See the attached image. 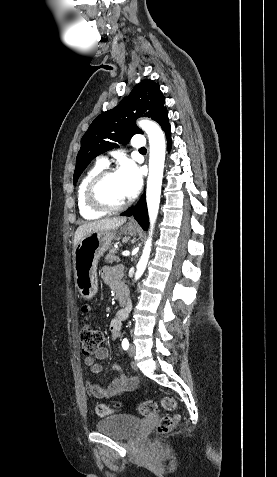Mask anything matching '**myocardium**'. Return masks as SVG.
I'll use <instances>...</instances> for the list:
<instances>
[{
	"instance_id": "1",
	"label": "myocardium",
	"mask_w": 277,
	"mask_h": 477,
	"mask_svg": "<svg viewBox=\"0 0 277 477\" xmlns=\"http://www.w3.org/2000/svg\"><path fill=\"white\" fill-rule=\"evenodd\" d=\"M117 173L115 169L108 168L98 172L87 184L85 189V201L86 204L93 210L103 213H114L123 210L129 204V201H125L112 205L104 201L99 193L102 183L111 175Z\"/></svg>"
}]
</instances>
